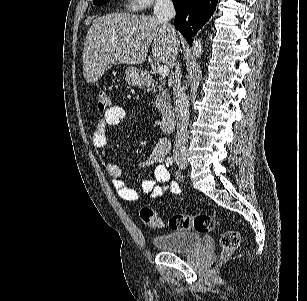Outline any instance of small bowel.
Here are the masks:
<instances>
[{"mask_svg":"<svg viewBox=\"0 0 307 301\" xmlns=\"http://www.w3.org/2000/svg\"><path fill=\"white\" fill-rule=\"evenodd\" d=\"M126 109L121 106H111L102 119L98 121L93 132L92 140L96 149L102 154L106 161L105 168L109 176L113 179V186L118 195L126 201H135L142 196L149 195L152 199L162 196L169 191L174 195L181 193L180 185L177 182H169V171L163 161L169 151V143L166 140L158 142L144 165L154 166L153 176L144 180L139 191L127 187L122 180L121 168L110 162L106 153L107 135L106 129L109 126L119 125L126 117Z\"/></svg>","mask_w":307,"mask_h":301,"instance_id":"1","label":"small bowel"}]
</instances>
